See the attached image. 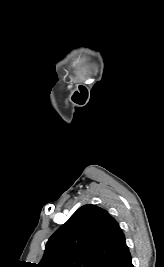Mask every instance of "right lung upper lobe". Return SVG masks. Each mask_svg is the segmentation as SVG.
<instances>
[{
  "label": "right lung upper lobe",
  "instance_id": "1",
  "mask_svg": "<svg viewBox=\"0 0 164 267\" xmlns=\"http://www.w3.org/2000/svg\"><path fill=\"white\" fill-rule=\"evenodd\" d=\"M125 245L116 220L87 204L50 237L38 267H99Z\"/></svg>",
  "mask_w": 164,
  "mask_h": 267
}]
</instances>
